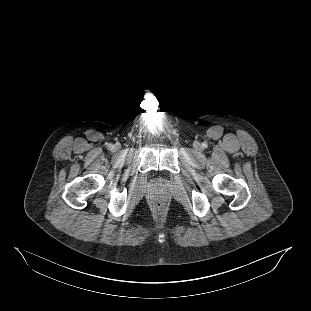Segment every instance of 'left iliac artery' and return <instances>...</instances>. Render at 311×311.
I'll return each mask as SVG.
<instances>
[{
  "label": "left iliac artery",
  "instance_id": "44dca946",
  "mask_svg": "<svg viewBox=\"0 0 311 311\" xmlns=\"http://www.w3.org/2000/svg\"><path fill=\"white\" fill-rule=\"evenodd\" d=\"M202 146H203L204 148H206V147H207V143L204 142V143L202 144Z\"/></svg>",
  "mask_w": 311,
  "mask_h": 311
}]
</instances>
